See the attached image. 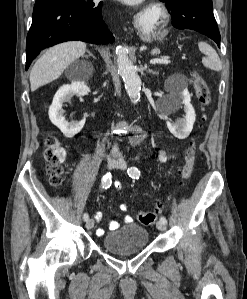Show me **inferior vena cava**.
<instances>
[{
	"instance_id": "1",
	"label": "inferior vena cava",
	"mask_w": 247,
	"mask_h": 299,
	"mask_svg": "<svg viewBox=\"0 0 247 299\" xmlns=\"http://www.w3.org/2000/svg\"><path fill=\"white\" fill-rule=\"evenodd\" d=\"M112 152H114V153L117 152V146L116 145L113 147Z\"/></svg>"
}]
</instances>
